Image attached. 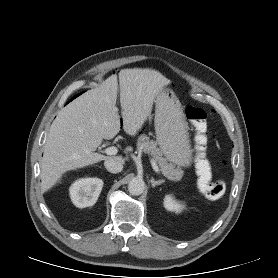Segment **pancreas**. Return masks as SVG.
I'll return each instance as SVG.
<instances>
[{
    "mask_svg": "<svg viewBox=\"0 0 278 278\" xmlns=\"http://www.w3.org/2000/svg\"><path fill=\"white\" fill-rule=\"evenodd\" d=\"M137 149L150 154L158 163L162 174L171 181H180L183 176V171L176 168L174 164L169 163L166 158L162 156V151L157 148V143L144 134L140 135L137 140Z\"/></svg>",
    "mask_w": 278,
    "mask_h": 278,
    "instance_id": "pancreas-1",
    "label": "pancreas"
}]
</instances>
